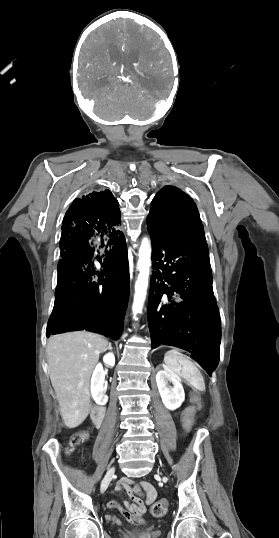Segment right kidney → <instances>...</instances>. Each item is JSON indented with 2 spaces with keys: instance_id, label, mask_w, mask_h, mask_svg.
<instances>
[{
  "instance_id": "1",
  "label": "right kidney",
  "mask_w": 279,
  "mask_h": 538,
  "mask_svg": "<svg viewBox=\"0 0 279 538\" xmlns=\"http://www.w3.org/2000/svg\"><path fill=\"white\" fill-rule=\"evenodd\" d=\"M104 364H106L107 368H113L115 364V358L114 354H106L103 358ZM105 380V372L103 370L102 364H97L93 376L91 378V394L93 400H95L96 404H99V406H105L106 402H108V396H105V390L103 384Z\"/></svg>"
}]
</instances>
